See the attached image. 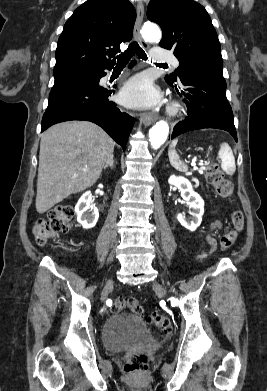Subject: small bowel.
Returning <instances> with one entry per match:
<instances>
[{
	"label": "small bowel",
	"instance_id": "obj_1",
	"mask_svg": "<svg viewBox=\"0 0 267 391\" xmlns=\"http://www.w3.org/2000/svg\"><path fill=\"white\" fill-rule=\"evenodd\" d=\"M221 227V224L220 222H214L212 225H211V230L210 232H208V234L206 235V241L208 243V250L206 251H203L199 254L198 257L200 258H205L207 257L208 255H210L214 250H215V247H216V241L215 239L213 238L212 234H211V231L217 229V228H220Z\"/></svg>",
	"mask_w": 267,
	"mask_h": 391
}]
</instances>
